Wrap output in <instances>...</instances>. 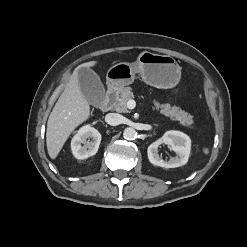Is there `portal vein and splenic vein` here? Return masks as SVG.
Instances as JSON below:
<instances>
[{"label": "portal vein and splenic vein", "instance_id": "18ae733b", "mask_svg": "<svg viewBox=\"0 0 247 247\" xmlns=\"http://www.w3.org/2000/svg\"><path fill=\"white\" fill-rule=\"evenodd\" d=\"M135 106H136L135 100L130 99V100L127 101V108H129V109H134Z\"/></svg>", "mask_w": 247, "mask_h": 247}]
</instances>
